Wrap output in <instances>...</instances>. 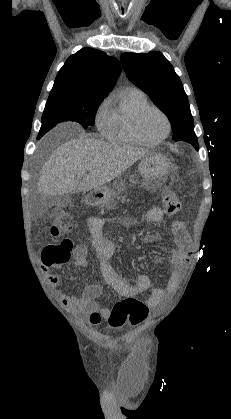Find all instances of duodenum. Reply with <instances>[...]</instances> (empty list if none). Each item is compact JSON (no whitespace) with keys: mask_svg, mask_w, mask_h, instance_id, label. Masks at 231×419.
Returning <instances> with one entry per match:
<instances>
[{"mask_svg":"<svg viewBox=\"0 0 231 419\" xmlns=\"http://www.w3.org/2000/svg\"><path fill=\"white\" fill-rule=\"evenodd\" d=\"M89 201H90V202H95V201H96V196H95V195L90 196V197H89Z\"/></svg>","mask_w":231,"mask_h":419,"instance_id":"duodenum-1","label":"duodenum"}]
</instances>
